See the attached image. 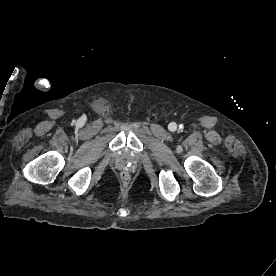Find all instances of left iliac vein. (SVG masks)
Returning <instances> with one entry per match:
<instances>
[{
	"label": "left iliac vein",
	"mask_w": 276,
	"mask_h": 276,
	"mask_svg": "<svg viewBox=\"0 0 276 276\" xmlns=\"http://www.w3.org/2000/svg\"><path fill=\"white\" fill-rule=\"evenodd\" d=\"M171 129H172V130H175V129H176V124H175V123H172V124H171Z\"/></svg>",
	"instance_id": "4c4485c4"
}]
</instances>
